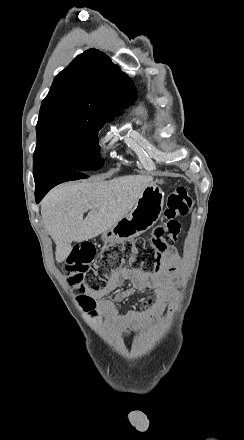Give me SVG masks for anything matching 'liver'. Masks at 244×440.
Instances as JSON below:
<instances>
[{
	"instance_id": "1",
	"label": "liver",
	"mask_w": 244,
	"mask_h": 440,
	"mask_svg": "<svg viewBox=\"0 0 244 440\" xmlns=\"http://www.w3.org/2000/svg\"><path fill=\"white\" fill-rule=\"evenodd\" d=\"M153 180L152 176H121L100 182H68L51 190L41 202V216L56 244V262L68 258L72 242L92 240L115 226Z\"/></svg>"
}]
</instances>
